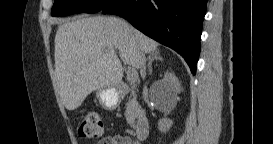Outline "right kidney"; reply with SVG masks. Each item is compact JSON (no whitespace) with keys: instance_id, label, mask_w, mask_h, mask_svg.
Instances as JSON below:
<instances>
[{"instance_id":"right-kidney-1","label":"right kidney","mask_w":273,"mask_h":144,"mask_svg":"<svg viewBox=\"0 0 273 144\" xmlns=\"http://www.w3.org/2000/svg\"><path fill=\"white\" fill-rule=\"evenodd\" d=\"M154 87L159 89V94L166 99H176L177 93L180 90L178 79L169 72H166L164 79L156 81ZM173 121L170 119H161L158 122V127L162 133H166L172 126Z\"/></svg>"}]
</instances>
